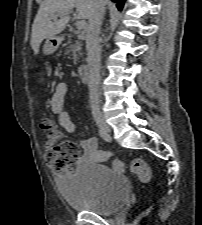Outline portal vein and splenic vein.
<instances>
[{
    "mask_svg": "<svg viewBox=\"0 0 202 225\" xmlns=\"http://www.w3.org/2000/svg\"><path fill=\"white\" fill-rule=\"evenodd\" d=\"M62 15H53L52 19H56L57 17H61ZM86 21L85 20H79L76 22V27L78 30H82L86 27Z\"/></svg>",
    "mask_w": 202,
    "mask_h": 225,
    "instance_id": "18ae733b",
    "label": "portal vein and splenic vein"
}]
</instances>
